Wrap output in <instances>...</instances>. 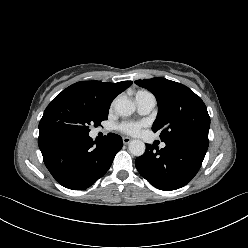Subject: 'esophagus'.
Here are the masks:
<instances>
[{
  "label": "esophagus",
  "instance_id": "1",
  "mask_svg": "<svg viewBox=\"0 0 248 248\" xmlns=\"http://www.w3.org/2000/svg\"><path fill=\"white\" fill-rule=\"evenodd\" d=\"M123 143L124 144H129L131 141H132V139L131 138H129V137H123Z\"/></svg>",
  "mask_w": 248,
  "mask_h": 248
}]
</instances>
